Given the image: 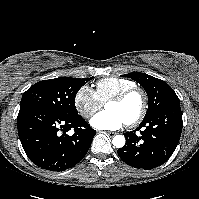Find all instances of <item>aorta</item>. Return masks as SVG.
<instances>
[{"instance_id": "obj_1", "label": "aorta", "mask_w": 199, "mask_h": 199, "mask_svg": "<svg viewBox=\"0 0 199 199\" xmlns=\"http://www.w3.org/2000/svg\"><path fill=\"white\" fill-rule=\"evenodd\" d=\"M112 143L116 148H122L125 145V137L123 135H116L113 137Z\"/></svg>"}]
</instances>
